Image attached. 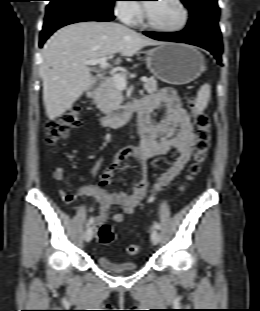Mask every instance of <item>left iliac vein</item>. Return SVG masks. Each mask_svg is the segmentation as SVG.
<instances>
[{"instance_id": "left-iliac-vein-1", "label": "left iliac vein", "mask_w": 260, "mask_h": 311, "mask_svg": "<svg viewBox=\"0 0 260 311\" xmlns=\"http://www.w3.org/2000/svg\"><path fill=\"white\" fill-rule=\"evenodd\" d=\"M160 240V234L156 229H153L151 232V241L154 245H157Z\"/></svg>"}]
</instances>
